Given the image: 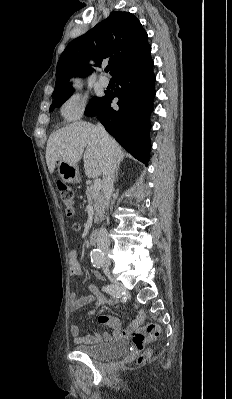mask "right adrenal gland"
Segmentation results:
<instances>
[{
    "mask_svg": "<svg viewBox=\"0 0 232 399\" xmlns=\"http://www.w3.org/2000/svg\"><path fill=\"white\" fill-rule=\"evenodd\" d=\"M117 180H118V168L114 174L113 182H117Z\"/></svg>",
    "mask_w": 232,
    "mask_h": 399,
    "instance_id": "obj_1",
    "label": "right adrenal gland"
}]
</instances>
